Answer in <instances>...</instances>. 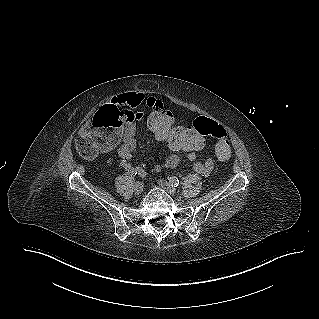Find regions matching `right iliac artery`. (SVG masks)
I'll list each match as a JSON object with an SVG mask.
<instances>
[{
	"mask_svg": "<svg viewBox=\"0 0 319 319\" xmlns=\"http://www.w3.org/2000/svg\"><path fill=\"white\" fill-rule=\"evenodd\" d=\"M136 174L143 175V174H141L137 169H132V171H131V176H135Z\"/></svg>",
	"mask_w": 319,
	"mask_h": 319,
	"instance_id": "right-iliac-artery-1",
	"label": "right iliac artery"
}]
</instances>
